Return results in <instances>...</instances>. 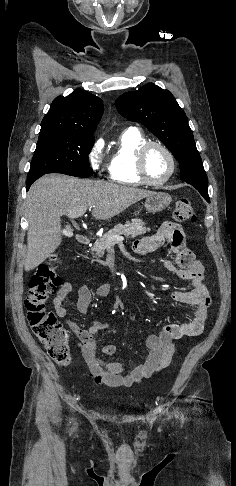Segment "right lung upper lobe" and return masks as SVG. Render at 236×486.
Wrapping results in <instances>:
<instances>
[{
    "label": "right lung upper lobe",
    "instance_id": "obj_1",
    "mask_svg": "<svg viewBox=\"0 0 236 486\" xmlns=\"http://www.w3.org/2000/svg\"><path fill=\"white\" fill-rule=\"evenodd\" d=\"M103 113V102L95 95L77 89L54 99L41 123V131H61L93 135Z\"/></svg>",
    "mask_w": 236,
    "mask_h": 486
}]
</instances>
